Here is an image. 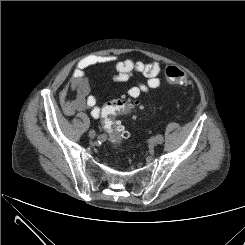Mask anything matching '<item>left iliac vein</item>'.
<instances>
[{"mask_svg":"<svg viewBox=\"0 0 245 245\" xmlns=\"http://www.w3.org/2000/svg\"><path fill=\"white\" fill-rule=\"evenodd\" d=\"M157 144H158V142H157V138H156V137H151V138L149 139V145H150L151 147H155Z\"/></svg>","mask_w":245,"mask_h":245,"instance_id":"left-iliac-vein-1","label":"left iliac vein"}]
</instances>
